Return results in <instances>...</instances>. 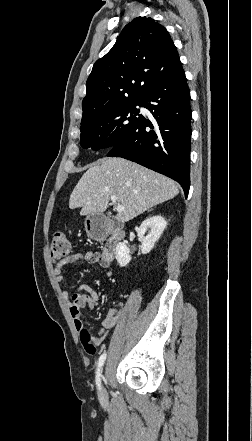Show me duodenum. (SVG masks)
I'll return each mask as SVG.
<instances>
[{
	"instance_id": "obj_1",
	"label": "duodenum",
	"mask_w": 252,
	"mask_h": 441,
	"mask_svg": "<svg viewBox=\"0 0 252 441\" xmlns=\"http://www.w3.org/2000/svg\"><path fill=\"white\" fill-rule=\"evenodd\" d=\"M88 229L93 240L107 239L102 257L107 261H111L116 254L119 243L125 236L124 228L115 221L104 224L99 219L93 218L88 221Z\"/></svg>"
}]
</instances>
